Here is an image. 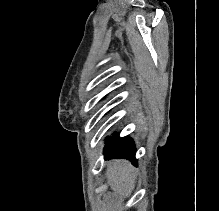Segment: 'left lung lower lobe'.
Segmentation results:
<instances>
[{"label":"left lung lower lobe","mask_w":219,"mask_h":211,"mask_svg":"<svg viewBox=\"0 0 219 211\" xmlns=\"http://www.w3.org/2000/svg\"><path fill=\"white\" fill-rule=\"evenodd\" d=\"M105 143L104 159L127 158L132 159L134 164L137 163L135 159L136 148L129 137L119 138L117 134H114V138L109 137Z\"/></svg>","instance_id":"0a47b994"}]
</instances>
